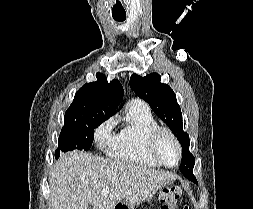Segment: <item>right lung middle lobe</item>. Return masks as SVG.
<instances>
[{"mask_svg":"<svg viewBox=\"0 0 253 209\" xmlns=\"http://www.w3.org/2000/svg\"><path fill=\"white\" fill-rule=\"evenodd\" d=\"M107 119L99 114H89L64 122L55 157L58 158L60 152L75 149L88 151L93 142L94 129Z\"/></svg>","mask_w":253,"mask_h":209,"instance_id":"obj_1","label":"right lung middle lobe"}]
</instances>
